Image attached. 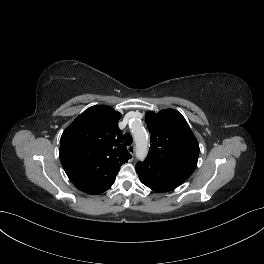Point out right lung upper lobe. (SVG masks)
<instances>
[{
  "label": "right lung upper lobe",
  "instance_id": "obj_1",
  "mask_svg": "<svg viewBox=\"0 0 264 264\" xmlns=\"http://www.w3.org/2000/svg\"><path fill=\"white\" fill-rule=\"evenodd\" d=\"M121 114L109 106L86 109L61 136L59 156L73 184L88 194H101L115 182L131 158L118 128Z\"/></svg>",
  "mask_w": 264,
  "mask_h": 264
}]
</instances>
